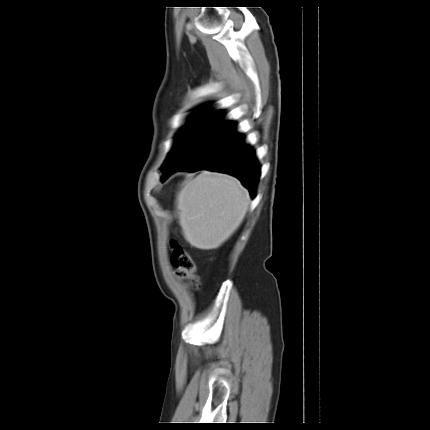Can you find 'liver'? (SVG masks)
Returning a JSON list of instances; mask_svg holds the SVG:
<instances>
[{
    "label": "liver",
    "instance_id": "6515ba94",
    "mask_svg": "<svg viewBox=\"0 0 430 430\" xmlns=\"http://www.w3.org/2000/svg\"><path fill=\"white\" fill-rule=\"evenodd\" d=\"M249 204V193L238 179L203 171L177 196L185 240L202 250L218 248L240 226Z\"/></svg>",
    "mask_w": 430,
    "mask_h": 430
}]
</instances>
